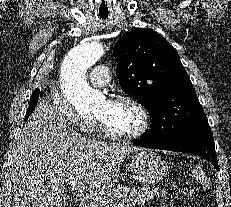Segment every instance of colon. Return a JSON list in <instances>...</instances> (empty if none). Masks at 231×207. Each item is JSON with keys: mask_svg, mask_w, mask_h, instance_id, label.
<instances>
[{"mask_svg": "<svg viewBox=\"0 0 231 207\" xmlns=\"http://www.w3.org/2000/svg\"><path fill=\"white\" fill-rule=\"evenodd\" d=\"M179 191L182 194V196L186 199H191L193 196V188L185 183L179 184ZM189 207H198L195 204H190Z\"/></svg>", "mask_w": 231, "mask_h": 207, "instance_id": "colon-1", "label": "colon"}]
</instances>
